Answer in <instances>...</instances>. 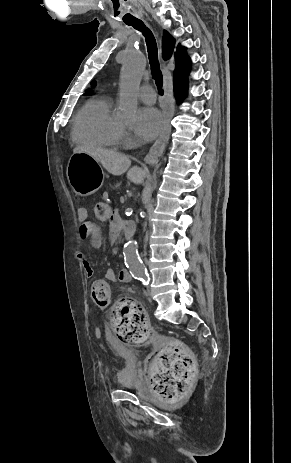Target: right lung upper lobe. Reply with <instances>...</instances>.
Returning <instances> with one entry per match:
<instances>
[{"mask_svg":"<svg viewBox=\"0 0 291 463\" xmlns=\"http://www.w3.org/2000/svg\"><path fill=\"white\" fill-rule=\"evenodd\" d=\"M163 58L164 60H168L171 58L173 49L175 47L174 38L165 31L163 34ZM186 48L184 47H177V52L175 53L176 57V70L174 72V84L180 85L184 84L187 81V73L190 69V60L187 58L186 53H184Z\"/></svg>","mask_w":291,"mask_h":463,"instance_id":"obj_1","label":"right lung upper lobe"}]
</instances>
